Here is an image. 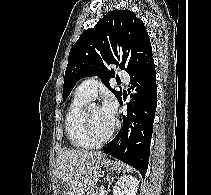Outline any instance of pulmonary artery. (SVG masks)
I'll use <instances>...</instances> for the list:
<instances>
[{
    "label": "pulmonary artery",
    "instance_id": "obj_1",
    "mask_svg": "<svg viewBox=\"0 0 211 195\" xmlns=\"http://www.w3.org/2000/svg\"><path fill=\"white\" fill-rule=\"evenodd\" d=\"M118 74L123 81L128 82L129 76L127 72H125L123 69H120L118 71ZM97 88H98L97 79L89 78L82 81L78 85V87L76 88V93L91 100L96 96Z\"/></svg>",
    "mask_w": 211,
    "mask_h": 195
}]
</instances>
